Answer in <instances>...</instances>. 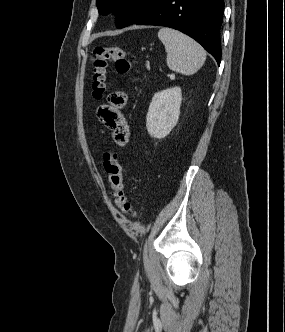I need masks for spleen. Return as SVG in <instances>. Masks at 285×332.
I'll return each mask as SVG.
<instances>
[{
  "label": "spleen",
  "mask_w": 285,
  "mask_h": 332,
  "mask_svg": "<svg viewBox=\"0 0 285 332\" xmlns=\"http://www.w3.org/2000/svg\"><path fill=\"white\" fill-rule=\"evenodd\" d=\"M167 53L166 63L183 75L196 73L206 60V51L195 40L175 29L164 27L158 32Z\"/></svg>",
  "instance_id": "spleen-1"
}]
</instances>
